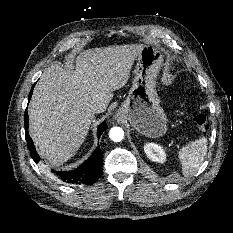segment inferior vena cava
<instances>
[{
	"instance_id": "602c4592",
	"label": "inferior vena cava",
	"mask_w": 233,
	"mask_h": 233,
	"mask_svg": "<svg viewBox=\"0 0 233 233\" xmlns=\"http://www.w3.org/2000/svg\"><path fill=\"white\" fill-rule=\"evenodd\" d=\"M92 112H93V114H95V115H96V114H98V112H99V111H98V109H96V108H95V109H93V111H92Z\"/></svg>"
}]
</instances>
